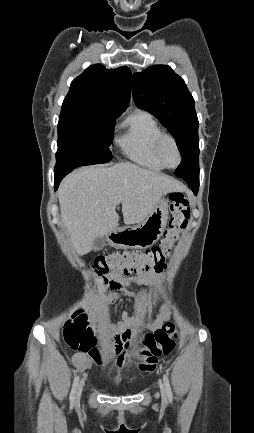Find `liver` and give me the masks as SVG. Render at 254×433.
Returning a JSON list of instances; mask_svg holds the SVG:
<instances>
[{
	"mask_svg": "<svg viewBox=\"0 0 254 433\" xmlns=\"http://www.w3.org/2000/svg\"><path fill=\"white\" fill-rule=\"evenodd\" d=\"M181 189L173 178L129 162L84 167L60 185L61 219L75 251L84 255L93 249L96 238L118 227V204L126 225L139 224L163 195Z\"/></svg>",
	"mask_w": 254,
	"mask_h": 433,
	"instance_id": "obj_1",
	"label": "liver"
}]
</instances>
